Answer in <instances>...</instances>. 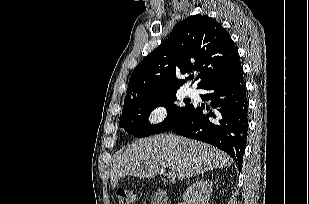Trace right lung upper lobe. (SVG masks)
<instances>
[{
    "label": "right lung upper lobe",
    "mask_w": 309,
    "mask_h": 204,
    "mask_svg": "<svg viewBox=\"0 0 309 204\" xmlns=\"http://www.w3.org/2000/svg\"><path fill=\"white\" fill-rule=\"evenodd\" d=\"M233 40L215 19L194 15L179 22L170 37L134 69L124 101L173 93L185 82L176 74L200 71L201 89L241 64Z\"/></svg>",
    "instance_id": "right-lung-upper-lobe-1"
}]
</instances>
